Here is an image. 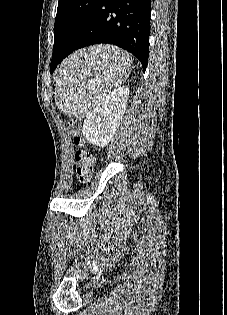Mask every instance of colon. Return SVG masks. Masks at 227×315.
<instances>
[{"instance_id":"1","label":"colon","mask_w":227,"mask_h":315,"mask_svg":"<svg viewBox=\"0 0 227 315\" xmlns=\"http://www.w3.org/2000/svg\"><path fill=\"white\" fill-rule=\"evenodd\" d=\"M67 132L78 145L75 155V173L80 183H86L92 176L95 163L93 154L85 148L84 140L81 136V124L78 119H71L67 123Z\"/></svg>"}]
</instances>
